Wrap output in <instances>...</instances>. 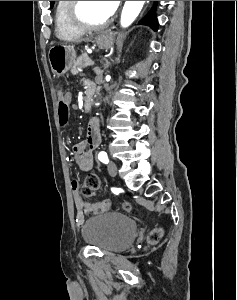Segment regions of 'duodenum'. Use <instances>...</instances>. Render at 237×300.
<instances>
[{
  "label": "duodenum",
  "instance_id": "410a0bca",
  "mask_svg": "<svg viewBox=\"0 0 237 300\" xmlns=\"http://www.w3.org/2000/svg\"><path fill=\"white\" fill-rule=\"evenodd\" d=\"M93 100V91L91 89L86 90L85 96L83 99V108L84 110H88L92 105Z\"/></svg>",
  "mask_w": 237,
  "mask_h": 300
}]
</instances>
